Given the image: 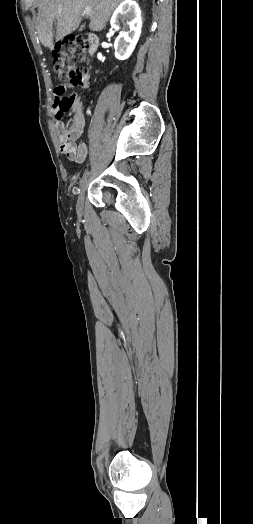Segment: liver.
I'll use <instances>...</instances> for the list:
<instances>
[{
    "mask_svg": "<svg viewBox=\"0 0 253 524\" xmlns=\"http://www.w3.org/2000/svg\"><path fill=\"white\" fill-rule=\"evenodd\" d=\"M123 0H39L37 33L41 43L53 49V27L56 26V40L75 31L81 21L82 10L92 9L89 28L99 32L106 26L112 12Z\"/></svg>",
    "mask_w": 253,
    "mask_h": 524,
    "instance_id": "obj_1",
    "label": "liver"
}]
</instances>
